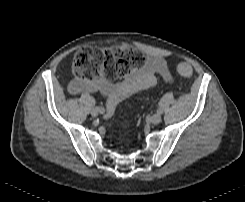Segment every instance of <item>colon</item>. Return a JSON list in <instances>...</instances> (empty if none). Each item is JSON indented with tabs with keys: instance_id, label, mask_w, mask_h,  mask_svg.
I'll use <instances>...</instances> for the list:
<instances>
[{
	"instance_id": "colon-1",
	"label": "colon",
	"mask_w": 245,
	"mask_h": 202,
	"mask_svg": "<svg viewBox=\"0 0 245 202\" xmlns=\"http://www.w3.org/2000/svg\"><path fill=\"white\" fill-rule=\"evenodd\" d=\"M145 64V56L133 49L129 44H118L112 47H83L77 50L71 61L72 73L82 79L93 80L105 77L117 80L125 77L133 68ZM177 72L184 77L192 74L188 63L181 62L176 67ZM112 109L108 108L106 116Z\"/></svg>"
}]
</instances>
